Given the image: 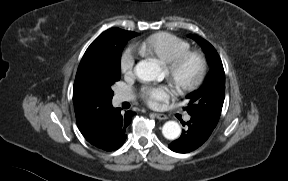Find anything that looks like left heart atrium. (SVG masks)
Returning <instances> with one entry per match:
<instances>
[{"label": "left heart atrium", "instance_id": "1", "mask_svg": "<svg viewBox=\"0 0 288 181\" xmlns=\"http://www.w3.org/2000/svg\"><path fill=\"white\" fill-rule=\"evenodd\" d=\"M140 96L150 107L157 108L173 96V90L165 84H146L140 89Z\"/></svg>", "mask_w": 288, "mask_h": 181}]
</instances>
